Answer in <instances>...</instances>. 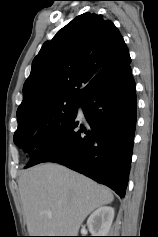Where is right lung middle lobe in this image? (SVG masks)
Masks as SVG:
<instances>
[{
	"mask_svg": "<svg viewBox=\"0 0 158 237\" xmlns=\"http://www.w3.org/2000/svg\"><path fill=\"white\" fill-rule=\"evenodd\" d=\"M80 103L81 100L55 99L37 110L17 116L15 144L31 158L43 142L75 115Z\"/></svg>",
	"mask_w": 158,
	"mask_h": 237,
	"instance_id": "dd1d6c3e",
	"label": "right lung middle lobe"
}]
</instances>
